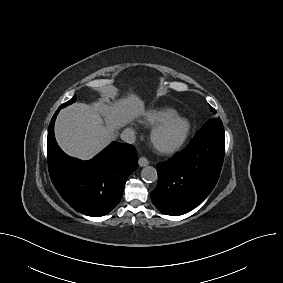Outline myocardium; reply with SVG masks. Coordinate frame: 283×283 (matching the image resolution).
<instances>
[{
  "label": "myocardium",
  "mask_w": 283,
  "mask_h": 283,
  "mask_svg": "<svg viewBox=\"0 0 283 283\" xmlns=\"http://www.w3.org/2000/svg\"><path fill=\"white\" fill-rule=\"evenodd\" d=\"M177 123L181 126V132L180 135L177 137L176 140H174L172 143L167 145H159L157 143V137L158 135L166 129L169 125ZM191 131V124L189 120L186 117H183L181 115L175 114L172 115L157 125H155L150 133V141L153 147L163 155H170L178 152L185 142L187 141L189 134Z\"/></svg>",
  "instance_id": "f54148a6"
}]
</instances>
